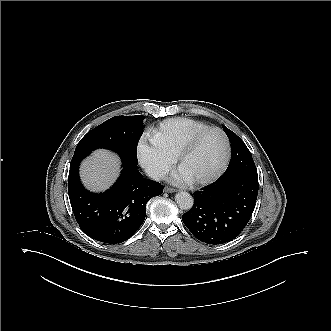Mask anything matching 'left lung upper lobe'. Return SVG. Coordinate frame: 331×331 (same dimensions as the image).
Masks as SVG:
<instances>
[{"mask_svg": "<svg viewBox=\"0 0 331 331\" xmlns=\"http://www.w3.org/2000/svg\"><path fill=\"white\" fill-rule=\"evenodd\" d=\"M223 129L231 142L232 150L231 160L224 176L240 172L257 175L255 163L245 143L224 125Z\"/></svg>", "mask_w": 331, "mask_h": 331, "instance_id": "obj_1", "label": "left lung upper lobe"}]
</instances>
